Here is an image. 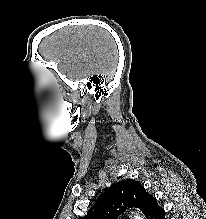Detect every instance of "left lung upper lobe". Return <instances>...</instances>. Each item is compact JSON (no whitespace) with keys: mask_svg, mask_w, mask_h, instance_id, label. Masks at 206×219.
<instances>
[{"mask_svg":"<svg viewBox=\"0 0 206 219\" xmlns=\"http://www.w3.org/2000/svg\"><path fill=\"white\" fill-rule=\"evenodd\" d=\"M153 196L134 180H125L107 188L87 215L78 219H117L128 207H137L147 216Z\"/></svg>","mask_w":206,"mask_h":219,"instance_id":"1","label":"left lung upper lobe"}]
</instances>
